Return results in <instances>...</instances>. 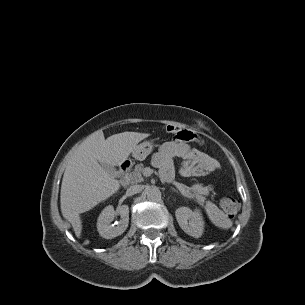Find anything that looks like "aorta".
<instances>
[{
    "mask_svg": "<svg viewBox=\"0 0 305 305\" xmlns=\"http://www.w3.org/2000/svg\"><path fill=\"white\" fill-rule=\"evenodd\" d=\"M147 199L149 201L158 202L161 200V192L158 188H151L147 191Z\"/></svg>",
    "mask_w": 305,
    "mask_h": 305,
    "instance_id": "762f6f07",
    "label": "aorta"
}]
</instances>
